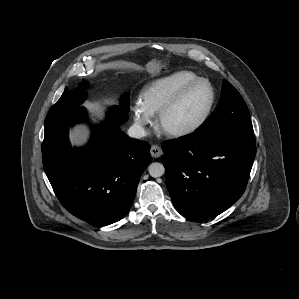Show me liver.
I'll return each instance as SVG.
<instances>
[{
    "instance_id": "obj_1",
    "label": "liver",
    "mask_w": 299,
    "mask_h": 299,
    "mask_svg": "<svg viewBox=\"0 0 299 299\" xmlns=\"http://www.w3.org/2000/svg\"><path fill=\"white\" fill-rule=\"evenodd\" d=\"M81 134L80 133H73L70 135V139L73 143H76L80 140Z\"/></svg>"
}]
</instances>
